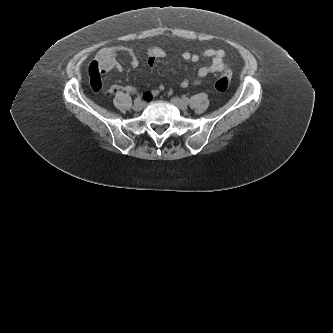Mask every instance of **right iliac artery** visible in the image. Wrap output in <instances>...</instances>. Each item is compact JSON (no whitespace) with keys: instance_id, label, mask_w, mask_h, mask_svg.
<instances>
[{"instance_id":"1","label":"right iliac artery","mask_w":333,"mask_h":333,"mask_svg":"<svg viewBox=\"0 0 333 333\" xmlns=\"http://www.w3.org/2000/svg\"><path fill=\"white\" fill-rule=\"evenodd\" d=\"M135 101H141V97L138 96V97L135 99Z\"/></svg>"}]
</instances>
